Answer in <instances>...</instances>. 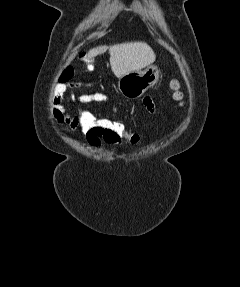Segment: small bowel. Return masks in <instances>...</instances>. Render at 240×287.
<instances>
[{"instance_id": "small-bowel-1", "label": "small bowel", "mask_w": 240, "mask_h": 287, "mask_svg": "<svg viewBox=\"0 0 240 287\" xmlns=\"http://www.w3.org/2000/svg\"><path fill=\"white\" fill-rule=\"evenodd\" d=\"M84 102L87 103H102V102H110V97L107 94L94 92L89 94H84L83 98ZM143 105L145 109L151 113H156V106L153 99L150 96H145L143 98ZM51 108L52 115L58 124L62 125L69 131H76L78 128L72 123L66 106L64 104L63 98L59 93L58 87L56 86L53 90L52 99H51ZM87 143L90 147L94 149L101 148L103 143H107L110 145L119 146L121 144L120 140H110L104 139L100 136L96 135H85Z\"/></svg>"}]
</instances>
